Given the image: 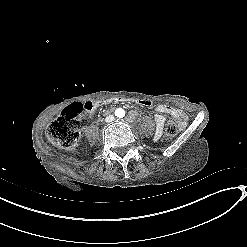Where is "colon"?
Segmentation results:
<instances>
[{
	"instance_id": "5ec220e1",
	"label": "colon",
	"mask_w": 247,
	"mask_h": 247,
	"mask_svg": "<svg viewBox=\"0 0 247 247\" xmlns=\"http://www.w3.org/2000/svg\"><path fill=\"white\" fill-rule=\"evenodd\" d=\"M137 107L139 99L124 96H109L89 101L85 104L74 103L68 106L47 128L49 142L63 150L72 149L78 142L80 130L88 122V111L110 105ZM141 106H154L152 100L141 101ZM178 126L174 120H168L165 135L168 138L177 134Z\"/></svg>"
}]
</instances>
